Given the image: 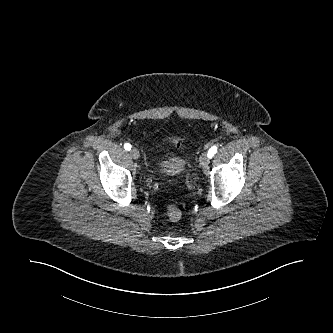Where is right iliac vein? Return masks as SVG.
Returning a JSON list of instances; mask_svg holds the SVG:
<instances>
[{
	"instance_id": "right-iliac-vein-1",
	"label": "right iliac vein",
	"mask_w": 333,
	"mask_h": 333,
	"mask_svg": "<svg viewBox=\"0 0 333 333\" xmlns=\"http://www.w3.org/2000/svg\"><path fill=\"white\" fill-rule=\"evenodd\" d=\"M130 155L134 159H138L140 156L139 151L136 148L131 149Z\"/></svg>"
}]
</instances>
